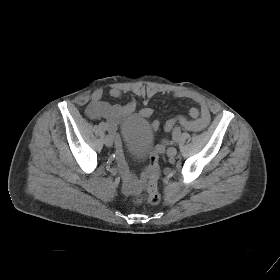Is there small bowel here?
<instances>
[{
    "label": "small bowel",
    "instance_id": "1",
    "mask_svg": "<svg viewBox=\"0 0 280 280\" xmlns=\"http://www.w3.org/2000/svg\"><path fill=\"white\" fill-rule=\"evenodd\" d=\"M109 96L112 98H119L122 96V91L113 88L109 91ZM175 97L188 98L195 101L199 107H192L189 110V117L177 116L168 120L165 124V130L170 132L176 124L182 125L185 129L192 132H199L205 129L210 121L211 114L207 101L200 95L190 91H177L174 93ZM136 101L130 100L126 104L112 105L103 100V91L101 89L95 90L90 98L85 113L91 119L104 118L106 120L107 128L113 135L116 134L118 124L129 116L136 109ZM141 114L144 117H151L153 115V109L146 107L142 109ZM160 125L159 121L153 122V127L158 128ZM167 141H163L159 145V150H163ZM120 171L124 179L125 191L132 192L139 188L140 179L136 178L129 170L128 164L124 159L120 160L119 163ZM147 174H144L146 176Z\"/></svg>",
    "mask_w": 280,
    "mask_h": 280
}]
</instances>
